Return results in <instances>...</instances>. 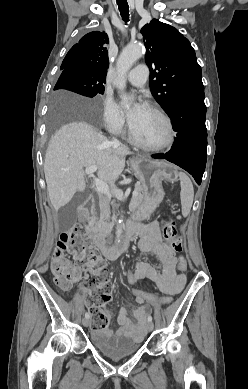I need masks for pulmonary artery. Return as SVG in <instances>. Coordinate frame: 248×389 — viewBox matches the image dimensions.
<instances>
[{"label":"pulmonary artery","mask_w":248,"mask_h":389,"mask_svg":"<svg viewBox=\"0 0 248 389\" xmlns=\"http://www.w3.org/2000/svg\"><path fill=\"white\" fill-rule=\"evenodd\" d=\"M148 75V67L145 64H140L127 74V79L132 85L141 87L146 83Z\"/></svg>","instance_id":"obj_1"}]
</instances>
